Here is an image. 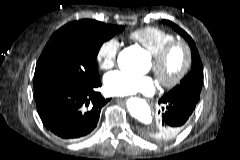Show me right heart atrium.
Wrapping results in <instances>:
<instances>
[{"label": "right heart atrium", "mask_w": 240, "mask_h": 160, "mask_svg": "<svg viewBox=\"0 0 240 160\" xmlns=\"http://www.w3.org/2000/svg\"><path fill=\"white\" fill-rule=\"evenodd\" d=\"M120 43L115 38L104 41L98 48L96 60L102 70H110L117 62Z\"/></svg>", "instance_id": "right-heart-atrium-1"}]
</instances>
